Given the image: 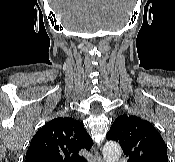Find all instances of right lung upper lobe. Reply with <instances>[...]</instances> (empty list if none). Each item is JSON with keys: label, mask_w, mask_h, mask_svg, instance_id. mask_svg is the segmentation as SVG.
I'll return each instance as SVG.
<instances>
[{"label": "right lung upper lobe", "mask_w": 175, "mask_h": 162, "mask_svg": "<svg viewBox=\"0 0 175 162\" xmlns=\"http://www.w3.org/2000/svg\"><path fill=\"white\" fill-rule=\"evenodd\" d=\"M92 145L81 122L58 117L34 135L25 162H86L78 153L82 149L89 150Z\"/></svg>", "instance_id": "obj_1"}]
</instances>
